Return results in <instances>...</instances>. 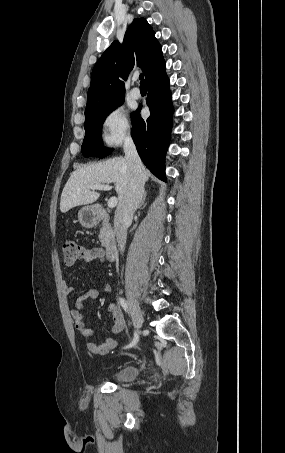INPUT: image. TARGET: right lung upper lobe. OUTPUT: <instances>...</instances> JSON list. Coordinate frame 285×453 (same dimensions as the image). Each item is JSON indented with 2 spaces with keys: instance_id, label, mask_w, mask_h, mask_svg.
<instances>
[{
  "instance_id": "cb5924a9",
  "label": "right lung upper lobe",
  "mask_w": 285,
  "mask_h": 453,
  "mask_svg": "<svg viewBox=\"0 0 285 453\" xmlns=\"http://www.w3.org/2000/svg\"><path fill=\"white\" fill-rule=\"evenodd\" d=\"M135 65L142 67L146 81L165 68L161 45L144 18L134 19L123 44L114 41L95 64L85 114L124 98L123 80Z\"/></svg>"
}]
</instances>
